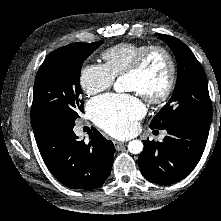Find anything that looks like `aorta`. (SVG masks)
Instances as JSON below:
<instances>
[{
    "mask_svg": "<svg viewBox=\"0 0 221 221\" xmlns=\"http://www.w3.org/2000/svg\"><path fill=\"white\" fill-rule=\"evenodd\" d=\"M114 90L119 93L124 91L123 84L119 79L114 83ZM128 150L132 154H139L143 150V143L140 140H132L128 143Z\"/></svg>",
    "mask_w": 221,
    "mask_h": 221,
    "instance_id": "aorta-1",
    "label": "aorta"
}]
</instances>
